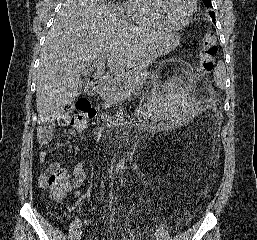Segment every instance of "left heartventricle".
<instances>
[{"label":"left heart ventricle","mask_w":257,"mask_h":240,"mask_svg":"<svg viewBox=\"0 0 257 240\" xmlns=\"http://www.w3.org/2000/svg\"><path fill=\"white\" fill-rule=\"evenodd\" d=\"M158 6L167 19L179 21L188 14L190 0H158Z\"/></svg>","instance_id":"left-heart-ventricle-1"}]
</instances>
